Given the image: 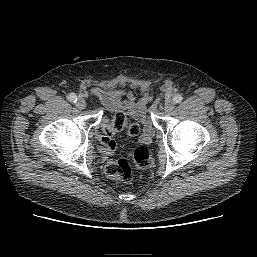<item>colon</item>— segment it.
Listing matches in <instances>:
<instances>
[{"label": "colon", "mask_w": 257, "mask_h": 257, "mask_svg": "<svg viewBox=\"0 0 257 257\" xmlns=\"http://www.w3.org/2000/svg\"><path fill=\"white\" fill-rule=\"evenodd\" d=\"M121 131H125L129 137H134L139 133V126L130 123L124 112H117L112 118H106L103 122L102 133L99 140L104 152H112L116 143L113 136ZM129 159L119 158L110 162L106 167L109 177L129 182L133 176V164L140 168H147L152 164L151 152L146 147H137L129 153Z\"/></svg>", "instance_id": "obj_1"}]
</instances>
